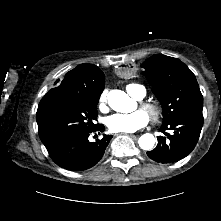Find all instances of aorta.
Segmentation results:
<instances>
[{"instance_id": "obj_1", "label": "aorta", "mask_w": 221, "mask_h": 221, "mask_svg": "<svg viewBox=\"0 0 221 221\" xmlns=\"http://www.w3.org/2000/svg\"><path fill=\"white\" fill-rule=\"evenodd\" d=\"M108 104L113 110L121 113L131 112L134 108L133 99L121 90H112L109 92ZM155 142V137L150 133L143 134L138 140V144L143 150L153 149Z\"/></svg>"}]
</instances>
